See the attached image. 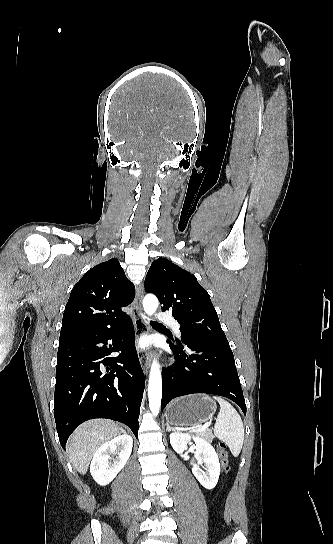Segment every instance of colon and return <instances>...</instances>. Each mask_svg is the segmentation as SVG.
Returning <instances> with one entry per match:
<instances>
[{
	"label": "colon",
	"mask_w": 333,
	"mask_h": 544,
	"mask_svg": "<svg viewBox=\"0 0 333 544\" xmlns=\"http://www.w3.org/2000/svg\"><path fill=\"white\" fill-rule=\"evenodd\" d=\"M215 448L219 453L223 472L227 473L229 468H228V451H227L226 445L223 442H218L215 445Z\"/></svg>",
	"instance_id": "obj_1"
}]
</instances>
